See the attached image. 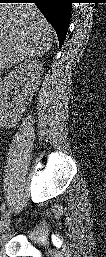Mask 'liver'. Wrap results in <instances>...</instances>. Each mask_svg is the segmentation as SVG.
<instances>
[{
	"instance_id": "1",
	"label": "liver",
	"mask_w": 106,
	"mask_h": 257,
	"mask_svg": "<svg viewBox=\"0 0 106 257\" xmlns=\"http://www.w3.org/2000/svg\"><path fill=\"white\" fill-rule=\"evenodd\" d=\"M52 27L33 3L0 6V69L44 55L52 46Z\"/></svg>"
}]
</instances>
